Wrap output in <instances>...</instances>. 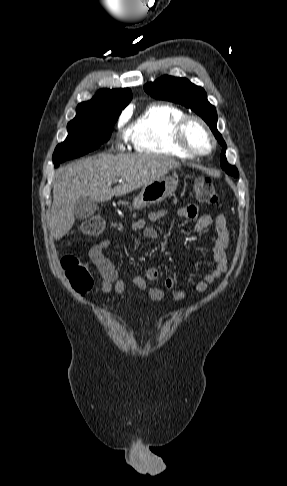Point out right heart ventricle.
Listing matches in <instances>:
<instances>
[{
	"label": "right heart ventricle",
	"instance_id": "obj_1",
	"mask_svg": "<svg viewBox=\"0 0 287 486\" xmlns=\"http://www.w3.org/2000/svg\"><path fill=\"white\" fill-rule=\"evenodd\" d=\"M186 115L171 104H152L128 127L126 138L138 153L190 158L175 142L177 124Z\"/></svg>",
	"mask_w": 287,
	"mask_h": 486
}]
</instances>
